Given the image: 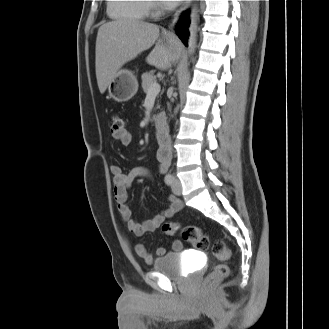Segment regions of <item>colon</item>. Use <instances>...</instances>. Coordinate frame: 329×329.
Returning <instances> with one entry per match:
<instances>
[{
	"instance_id": "obj_1",
	"label": "colon",
	"mask_w": 329,
	"mask_h": 329,
	"mask_svg": "<svg viewBox=\"0 0 329 329\" xmlns=\"http://www.w3.org/2000/svg\"><path fill=\"white\" fill-rule=\"evenodd\" d=\"M126 119L120 114L114 113L111 115V132L114 136H119L126 130ZM181 229L182 238L200 249H207L210 245V240L203 230L195 225H187L181 228L176 222H166L162 225V232L165 235L173 236ZM213 254L223 261L214 266L213 270L207 275L205 283L213 285L225 279L229 274V267L224 261L230 257V251L225 243L221 240L216 241L212 248Z\"/></svg>"
}]
</instances>
